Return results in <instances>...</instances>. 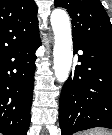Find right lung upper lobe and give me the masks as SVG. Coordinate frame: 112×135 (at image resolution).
I'll return each instance as SVG.
<instances>
[{
	"label": "right lung upper lobe",
	"mask_w": 112,
	"mask_h": 135,
	"mask_svg": "<svg viewBox=\"0 0 112 135\" xmlns=\"http://www.w3.org/2000/svg\"><path fill=\"white\" fill-rule=\"evenodd\" d=\"M39 34L34 0H0V56Z\"/></svg>",
	"instance_id": "1"
}]
</instances>
